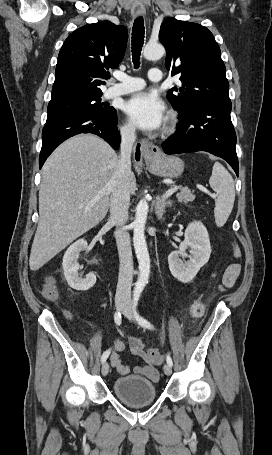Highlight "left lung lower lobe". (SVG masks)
Returning <instances> with one entry per match:
<instances>
[{
    "label": "left lung lower lobe",
    "instance_id": "1",
    "mask_svg": "<svg viewBox=\"0 0 272 455\" xmlns=\"http://www.w3.org/2000/svg\"><path fill=\"white\" fill-rule=\"evenodd\" d=\"M231 101H205L180 114L176 134L163 144L166 154L206 151L226 160L239 174Z\"/></svg>",
    "mask_w": 272,
    "mask_h": 455
}]
</instances>
